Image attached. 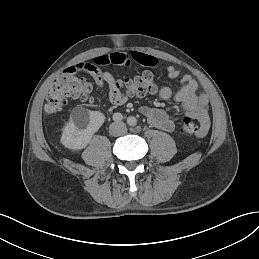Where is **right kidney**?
<instances>
[{
    "label": "right kidney",
    "mask_w": 259,
    "mask_h": 259,
    "mask_svg": "<svg viewBox=\"0 0 259 259\" xmlns=\"http://www.w3.org/2000/svg\"><path fill=\"white\" fill-rule=\"evenodd\" d=\"M105 116L99 111H91L76 107L70 115V121L65 126L61 143L72 150L85 148L93 134L99 130L104 123Z\"/></svg>",
    "instance_id": "obj_1"
}]
</instances>
